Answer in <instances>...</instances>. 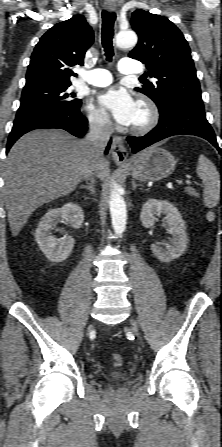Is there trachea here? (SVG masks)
<instances>
[{
  "label": "trachea",
  "instance_id": "obj_1",
  "mask_svg": "<svg viewBox=\"0 0 222 447\" xmlns=\"http://www.w3.org/2000/svg\"><path fill=\"white\" fill-rule=\"evenodd\" d=\"M116 19L115 13L102 12V45L105 51L107 61H111L114 55L112 39L114 35V22ZM143 79V78H141Z\"/></svg>",
  "mask_w": 222,
  "mask_h": 447
}]
</instances>
